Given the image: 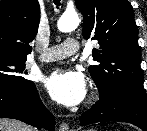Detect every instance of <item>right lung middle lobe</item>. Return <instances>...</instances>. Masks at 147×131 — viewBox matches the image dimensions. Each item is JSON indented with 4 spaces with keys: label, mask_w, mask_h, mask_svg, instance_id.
<instances>
[{
    "label": "right lung middle lobe",
    "mask_w": 147,
    "mask_h": 131,
    "mask_svg": "<svg viewBox=\"0 0 147 131\" xmlns=\"http://www.w3.org/2000/svg\"><path fill=\"white\" fill-rule=\"evenodd\" d=\"M26 59L0 57V87H28L33 82L24 77Z\"/></svg>",
    "instance_id": "dd1d6c3e"
}]
</instances>
